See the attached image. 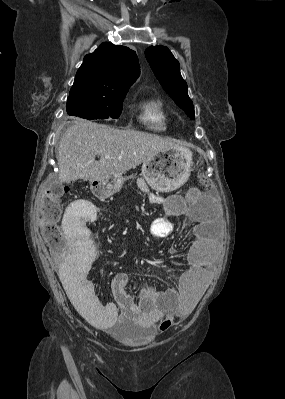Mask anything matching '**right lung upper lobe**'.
<instances>
[{"label":"right lung upper lobe","instance_id":"obj_1","mask_svg":"<svg viewBox=\"0 0 285 399\" xmlns=\"http://www.w3.org/2000/svg\"><path fill=\"white\" fill-rule=\"evenodd\" d=\"M136 53L128 47L102 43L84 57L70 90L73 95L111 96L128 91L139 76Z\"/></svg>","mask_w":285,"mask_h":399}]
</instances>
